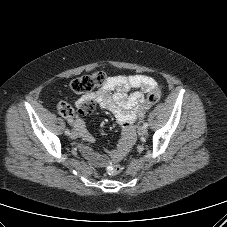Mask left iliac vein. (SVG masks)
<instances>
[{
  "label": "left iliac vein",
  "mask_w": 227,
  "mask_h": 227,
  "mask_svg": "<svg viewBox=\"0 0 227 227\" xmlns=\"http://www.w3.org/2000/svg\"><path fill=\"white\" fill-rule=\"evenodd\" d=\"M138 132H139L140 135L144 136V135L147 134V129H146L145 127L142 126V127H140V128L138 129Z\"/></svg>",
  "instance_id": "obj_1"
}]
</instances>
